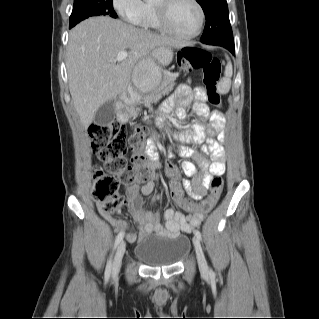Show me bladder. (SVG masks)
Here are the masks:
<instances>
[{"mask_svg": "<svg viewBox=\"0 0 319 319\" xmlns=\"http://www.w3.org/2000/svg\"><path fill=\"white\" fill-rule=\"evenodd\" d=\"M190 249L188 235H146L136 243L134 255L146 266H168L182 260Z\"/></svg>", "mask_w": 319, "mask_h": 319, "instance_id": "1", "label": "bladder"}]
</instances>
